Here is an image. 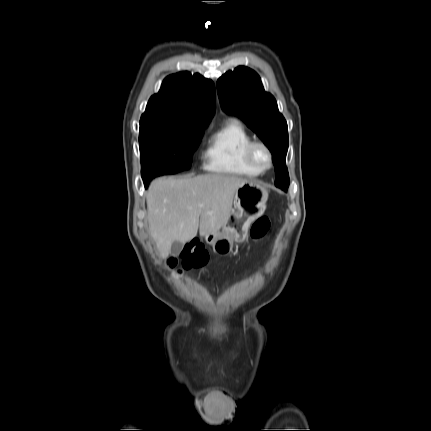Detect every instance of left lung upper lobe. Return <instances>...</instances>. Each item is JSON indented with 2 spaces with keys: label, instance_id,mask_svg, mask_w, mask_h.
I'll return each instance as SVG.
<instances>
[{
  "label": "left lung upper lobe",
  "instance_id": "left-lung-upper-lobe-1",
  "mask_svg": "<svg viewBox=\"0 0 431 431\" xmlns=\"http://www.w3.org/2000/svg\"><path fill=\"white\" fill-rule=\"evenodd\" d=\"M217 91L222 109L240 117L272 152L276 171L275 185L287 191V124L278 111L274 97L264 91L257 73L243 66L225 73L217 81Z\"/></svg>",
  "mask_w": 431,
  "mask_h": 431
}]
</instances>
